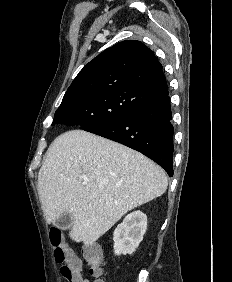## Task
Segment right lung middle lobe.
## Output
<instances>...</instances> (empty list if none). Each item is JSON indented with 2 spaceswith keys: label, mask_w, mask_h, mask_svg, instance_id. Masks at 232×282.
Masks as SVG:
<instances>
[{
  "label": "right lung middle lobe",
  "mask_w": 232,
  "mask_h": 282,
  "mask_svg": "<svg viewBox=\"0 0 232 282\" xmlns=\"http://www.w3.org/2000/svg\"><path fill=\"white\" fill-rule=\"evenodd\" d=\"M152 100L131 89H111L92 92L62 101L52 125H74L81 129L113 123L138 113Z\"/></svg>",
  "instance_id": "dd1d6c3e"
}]
</instances>
